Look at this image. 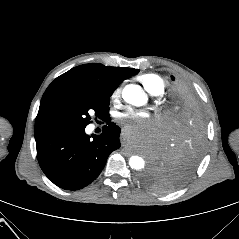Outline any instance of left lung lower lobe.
Instances as JSON below:
<instances>
[{
  "mask_svg": "<svg viewBox=\"0 0 239 239\" xmlns=\"http://www.w3.org/2000/svg\"><path fill=\"white\" fill-rule=\"evenodd\" d=\"M181 123L188 126L187 129H189V132L187 133H191L189 134V137H191L189 139L191 140H189V142H185L184 146H180L178 144V140H176L178 139V136L176 137L175 132H172V130L169 129V132L164 138V143L162 144L161 150L152 161V167H160L162 165L163 152L168 150L170 146L172 147L175 145L177 147L175 148L177 149L175 152L179 153V155H183L181 157H184L183 159H187V161L188 159H194L195 155H198L202 147L201 139L203 136L201 135L203 133L202 131L204 130V114L201 105L197 103L185 105L181 112ZM178 186L180 185H177V187Z\"/></svg>",
  "mask_w": 239,
  "mask_h": 239,
  "instance_id": "left-lung-lower-lobe-1",
  "label": "left lung lower lobe"
}]
</instances>
